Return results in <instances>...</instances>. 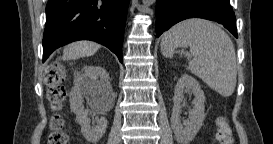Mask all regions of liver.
Returning a JSON list of instances; mask_svg holds the SVG:
<instances>
[{
  "instance_id": "obj_1",
  "label": "liver",
  "mask_w": 273,
  "mask_h": 144,
  "mask_svg": "<svg viewBox=\"0 0 273 144\" xmlns=\"http://www.w3.org/2000/svg\"><path fill=\"white\" fill-rule=\"evenodd\" d=\"M100 44L93 41H77L66 46V52L63 55L64 60L78 59L81 57L92 56L99 49Z\"/></svg>"
}]
</instances>
